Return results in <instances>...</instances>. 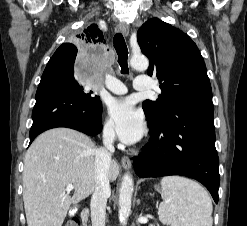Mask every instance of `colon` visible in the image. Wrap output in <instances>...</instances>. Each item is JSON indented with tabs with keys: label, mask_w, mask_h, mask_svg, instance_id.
<instances>
[{
	"label": "colon",
	"mask_w": 247,
	"mask_h": 226,
	"mask_svg": "<svg viewBox=\"0 0 247 226\" xmlns=\"http://www.w3.org/2000/svg\"><path fill=\"white\" fill-rule=\"evenodd\" d=\"M65 226H81V222L78 218L70 219Z\"/></svg>",
	"instance_id": "colon-1"
}]
</instances>
